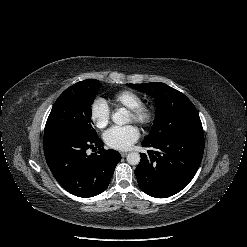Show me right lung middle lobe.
<instances>
[{"instance_id":"1","label":"right lung middle lobe","mask_w":247,"mask_h":247,"mask_svg":"<svg viewBox=\"0 0 247 247\" xmlns=\"http://www.w3.org/2000/svg\"><path fill=\"white\" fill-rule=\"evenodd\" d=\"M101 84L87 79L66 89L54 103L45 131L72 130L87 137H96L91 123V105Z\"/></svg>"}]
</instances>
